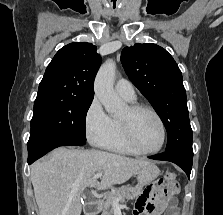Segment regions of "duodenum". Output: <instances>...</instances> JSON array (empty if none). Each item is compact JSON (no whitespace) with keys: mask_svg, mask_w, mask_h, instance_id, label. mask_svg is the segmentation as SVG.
Returning <instances> with one entry per match:
<instances>
[{"mask_svg":"<svg viewBox=\"0 0 223 215\" xmlns=\"http://www.w3.org/2000/svg\"><path fill=\"white\" fill-rule=\"evenodd\" d=\"M99 206L95 200H87L84 203V215H98Z\"/></svg>","mask_w":223,"mask_h":215,"instance_id":"obj_1","label":"duodenum"}]
</instances>
